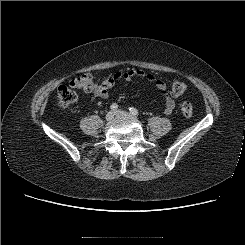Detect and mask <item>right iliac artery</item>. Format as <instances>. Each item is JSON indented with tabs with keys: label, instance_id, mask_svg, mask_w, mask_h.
<instances>
[{
	"label": "right iliac artery",
	"instance_id": "right-iliac-artery-1",
	"mask_svg": "<svg viewBox=\"0 0 245 245\" xmlns=\"http://www.w3.org/2000/svg\"><path fill=\"white\" fill-rule=\"evenodd\" d=\"M111 110L115 111L118 109V105L116 103H113L111 106H110Z\"/></svg>",
	"mask_w": 245,
	"mask_h": 245
}]
</instances>
